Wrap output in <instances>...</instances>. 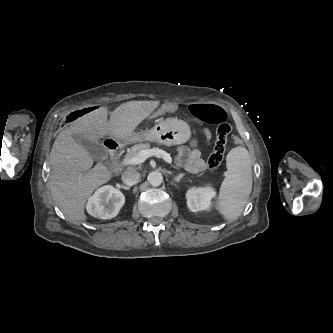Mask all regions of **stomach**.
Returning a JSON list of instances; mask_svg holds the SVG:
<instances>
[{
    "label": "stomach",
    "mask_w": 333,
    "mask_h": 333,
    "mask_svg": "<svg viewBox=\"0 0 333 333\" xmlns=\"http://www.w3.org/2000/svg\"><path fill=\"white\" fill-rule=\"evenodd\" d=\"M190 138L191 130L188 124L168 118L151 129L133 133L130 137L121 140L126 143L146 140L171 146L186 143Z\"/></svg>",
    "instance_id": "0dacf381"
}]
</instances>
